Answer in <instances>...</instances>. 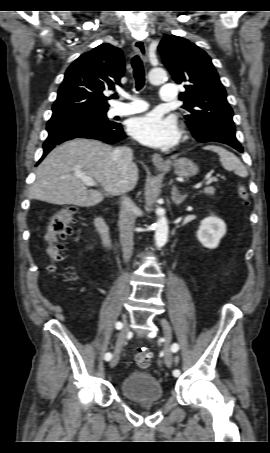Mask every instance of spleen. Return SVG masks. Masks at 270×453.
Segmentation results:
<instances>
[{
    "mask_svg": "<svg viewBox=\"0 0 270 453\" xmlns=\"http://www.w3.org/2000/svg\"><path fill=\"white\" fill-rule=\"evenodd\" d=\"M205 149L211 150L217 153L220 157L222 166L228 171H234L240 177H246L248 175L245 166L232 152L214 145L206 146Z\"/></svg>",
    "mask_w": 270,
    "mask_h": 453,
    "instance_id": "obj_1",
    "label": "spleen"
}]
</instances>
